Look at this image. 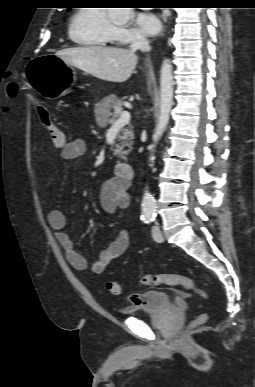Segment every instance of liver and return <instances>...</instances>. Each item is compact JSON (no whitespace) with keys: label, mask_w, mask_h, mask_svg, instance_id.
<instances>
[{"label":"liver","mask_w":255,"mask_h":387,"mask_svg":"<svg viewBox=\"0 0 255 387\" xmlns=\"http://www.w3.org/2000/svg\"><path fill=\"white\" fill-rule=\"evenodd\" d=\"M55 56L98 79L116 83L127 81L138 61L131 49L103 46L64 49Z\"/></svg>","instance_id":"6515ba94"}]
</instances>
